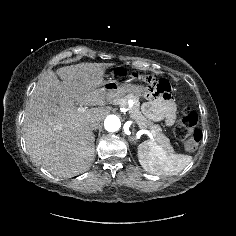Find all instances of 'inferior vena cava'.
I'll use <instances>...</instances> for the list:
<instances>
[{
  "mask_svg": "<svg viewBox=\"0 0 236 236\" xmlns=\"http://www.w3.org/2000/svg\"><path fill=\"white\" fill-rule=\"evenodd\" d=\"M100 125V122L96 121V120H92L90 123H89V127L91 130H96Z\"/></svg>",
  "mask_w": 236,
  "mask_h": 236,
  "instance_id": "1",
  "label": "inferior vena cava"
}]
</instances>
